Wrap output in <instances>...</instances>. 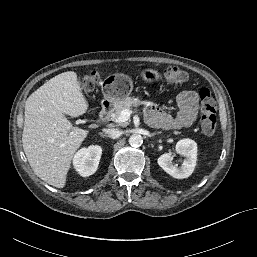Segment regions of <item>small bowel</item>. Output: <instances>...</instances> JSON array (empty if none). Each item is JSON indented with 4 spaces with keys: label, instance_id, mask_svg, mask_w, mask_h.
<instances>
[{
    "label": "small bowel",
    "instance_id": "obj_1",
    "mask_svg": "<svg viewBox=\"0 0 257 257\" xmlns=\"http://www.w3.org/2000/svg\"><path fill=\"white\" fill-rule=\"evenodd\" d=\"M179 111L176 115H169L154 107L149 111L155 125L164 129H178L190 127L194 124L198 113V97L196 92L188 89L182 90L177 96Z\"/></svg>",
    "mask_w": 257,
    "mask_h": 257
}]
</instances>
